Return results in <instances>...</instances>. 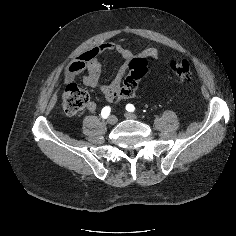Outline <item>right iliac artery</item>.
I'll return each instance as SVG.
<instances>
[{"mask_svg":"<svg viewBox=\"0 0 236 236\" xmlns=\"http://www.w3.org/2000/svg\"><path fill=\"white\" fill-rule=\"evenodd\" d=\"M111 108L109 106H105L101 111L102 118L106 119L110 115Z\"/></svg>","mask_w":236,"mask_h":236,"instance_id":"right-iliac-artery-1","label":"right iliac artery"}]
</instances>
